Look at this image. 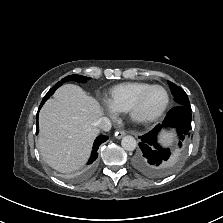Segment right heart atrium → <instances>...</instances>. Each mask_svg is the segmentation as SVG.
Wrapping results in <instances>:
<instances>
[{"label":"right heart atrium","instance_id":"d8ad5b80","mask_svg":"<svg viewBox=\"0 0 223 223\" xmlns=\"http://www.w3.org/2000/svg\"><path fill=\"white\" fill-rule=\"evenodd\" d=\"M108 110H109L110 112H113V111H114L110 106H108Z\"/></svg>","mask_w":223,"mask_h":223}]
</instances>
